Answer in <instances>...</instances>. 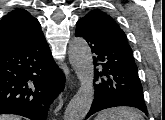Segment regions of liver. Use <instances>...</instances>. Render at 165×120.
<instances>
[{"label":"liver","instance_id":"liver-1","mask_svg":"<svg viewBox=\"0 0 165 120\" xmlns=\"http://www.w3.org/2000/svg\"><path fill=\"white\" fill-rule=\"evenodd\" d=\"M0 120H21V118L14 115H0Z\"/></svg>","mask_w":165,"mask_h":120}]
</instances>
